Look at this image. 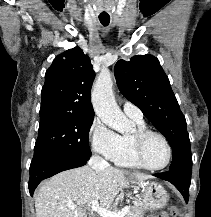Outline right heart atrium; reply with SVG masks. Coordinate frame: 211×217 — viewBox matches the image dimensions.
I'll return each instance as SVG.
<instances>
[{
  "label": "right heart atrium",
  "instance_id": "right-heart-atrium-1",
  "mask_svg": "<svg viewBox=\"0 0 211 217\" xmlns=\"http://www.w3.org/2000/svg\"><path fill=\"white\" fill-rule=\"evenodd\" d=\"M91 148L104 158L112 160L119 147V135L99 118H95L88 132Z\"/></svg>",
  "mask_w": 211,
  "mask_h": 217
}]
</instances>
